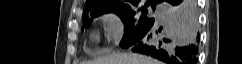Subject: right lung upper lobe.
<instances>
[{"label":"right lung upper lobe","mask_w":242,"mask_h":64,"mask_svg":"<svg viewBox=\"0 0 242 64\" xmlns=\"http://www.w3.org/2000/svg\"><path fill=\"white\" fill-rule=\"evenodd\" d=\"M158 0H147L145 5L154 7ZM140 0H87L83 16L94 13L110 12L116 10H125L137 6Z\"/></svg>","instance_id":"1"}]
</instances>
